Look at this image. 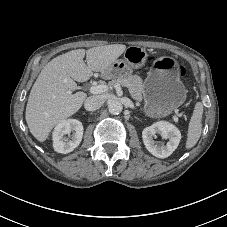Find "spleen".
<instances>
[{
  "mask_svg": "<svg viewBox=\"0 0 227 227\" xmlns=\"http://www.w3.org/2000/svg\"><path fill=\"white\" fill-rule=\"evenodd\" d=\"M202 115H203V105L201 102H198L195 105L193 115L189 122L186 149L193 148L198 142L201 132H202Z\"/></svg>",
  "mask_w": 227,
  "mask_h": 227,
  "instance_id": "obj_1",
  "label": "spleen"
}]
</instances>
